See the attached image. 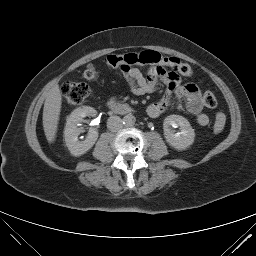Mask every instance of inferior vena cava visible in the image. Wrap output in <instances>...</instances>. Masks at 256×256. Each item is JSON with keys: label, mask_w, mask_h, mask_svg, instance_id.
Listing matches in <instances>:
<instances>
[{"label": "inferior vena cava", "mask_w": 256, "mask_h": 256, "mask_svg": "<svg viewBox=\"0 0 256 256\" xmlns=\"http://www.w3.org/2000/svg\"><path fill=\"white\" fill-rule=\"evenodd\" d=\"M107 127L110 131L116 132L123 127V120L119 116H111L107 120Z\"/></svg>", "instance_id": "obj_1"}]
</instances>
